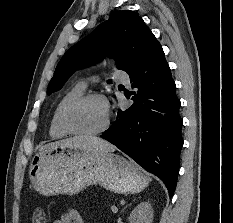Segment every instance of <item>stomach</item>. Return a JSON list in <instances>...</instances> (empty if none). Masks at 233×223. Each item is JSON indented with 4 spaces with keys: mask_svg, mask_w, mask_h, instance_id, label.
<instances>
[{
    "mask_svg": "<svg viewBox=\"0 0 233 223\" xmlns=\"http://www.w3.org/2000/svg\"><path fill=\"white\" fill-rule=\"evenodd\" d=\"M30 181L40 195H75L88 185H102L115 193H139L148 185L135 163L111 151L42 145L31 159Z\"/></svg>",
    "mask_w": 233,
    "mask_h": 223,
    "instance_id": "stomach-1",
    "label": "stomach"
}]
</instances>
